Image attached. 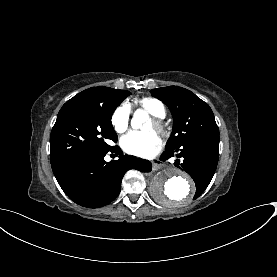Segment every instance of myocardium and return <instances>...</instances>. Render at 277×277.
Returning <instances> with one entry per match:
<instances>
[{
  "instance_id": "f54148a6",
  "label": "myocardium",
  "mask_w": 277,
  "mask_h": 277,
  "mask_svg": "<svg viewBox=\"0 0 277 277\" xmlns=\"http://www.w3.org/2000/svg\"><path fill=\"white\" fill-rule=\"evenodd\" d=\"M152 123H153V129L158 132V133H164L165 132V127L163 124V121L160 117H153L151 119Z\"/></svg>"
}]
</instances>
